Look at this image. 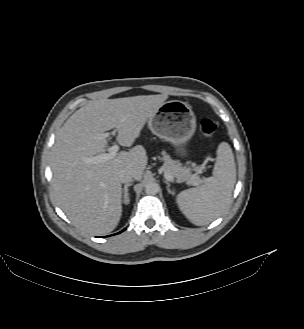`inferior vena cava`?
I'll use <instances>...</instances> for the list:
<instances>
[{"label": "inferior vena cava", "instance_id": "602c4592", "mask_svg": "<svg viewBox=\"0 0 304 329\" xmlns=\"http://www.w3.org/2000/svg\"><path fill=\"white\" fill-rule=\"evenodd\" d=\"M118 178L121 183H128L132 181L134 175L130 170H121L118 174Z\"/></svg>", "mask_w": 304, "mask_h": 329}]
</instances>
